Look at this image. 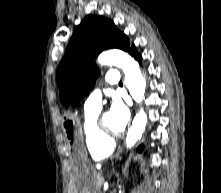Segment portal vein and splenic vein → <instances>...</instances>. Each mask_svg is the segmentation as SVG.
<instances>
[{
    "label": "portal vein and splenic vein",
    "mask_w": 221,
    "mask_h": 193,
    "mask_svg": "<svg viewBox=\"0 0 221 193\" xmlns=\"http://www.w3.org/2000/svg\"><path fill=\"white\" fill-rule=\"evenodd\" d=\"M103 183H104V177H101V178L99 179V184L102 185Z\"/></svg>",
    "instance_id": "portal-vein-and-splenic-vein-1"
}]
</instances>
